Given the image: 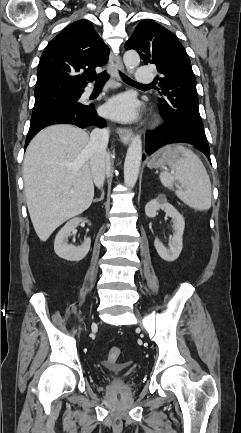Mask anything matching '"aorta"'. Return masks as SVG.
<instances>
[{
	"label": "aorta",
	"mask_w": 241,
	"mask_h": 433,
	"mask_svg": "<svg viewBox=\"0 0 241 433\" xmlns=\"http://www.w3.org/2000/svg\"><path fill=\"white\" fill-rule=\"evenodd\" d=\"M127 72L132 74L140 63V56L136 51H127L123 56ZM142 159V140L140 135L132 137L124 162V184L133 188L137 182Z\"/></svg>",
	"instance_id": "762f6f07"
}]
</instances>
